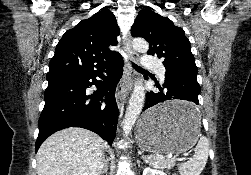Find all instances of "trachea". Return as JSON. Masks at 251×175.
I'll return each instance as SVG.
<instances>
[{
	"mask_svg": "<svg viewBox=\"0 0 251 175\" xmlns=\"http://www.w3.org/2000/svg\"><path fill=\"white\" fill-rule=\"evenodd\" d=\"M134 69L138 70V71H143L145 72L146 70H144L143 68L141 67H138L137 65H133Z\"/></svg>",
	"mask_w": 251,
	"mask_h": 175,
	"instance_id": "3493384b",
	"label": "trachea"
}]
</instances>
